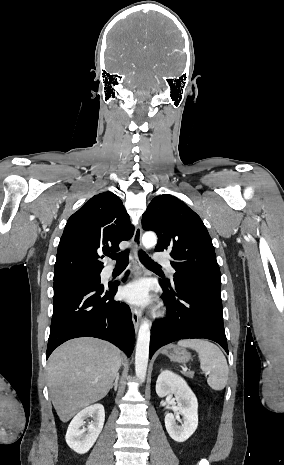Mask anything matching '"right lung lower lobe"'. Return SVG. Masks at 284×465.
I'll return each mask as SVG.
<instances>
[{"label":"right lung lower lobe","mask_w":284,"mask_h":465,"mask_svg":"<svg viewBox=\"0 0 284 465\" xmlns=\"http://www.w3.org/2000/svg\"><path fill=\"white\" fill-rule=\"evenodd\" d=\"M118 285L84 284L54 294L46 359L65 341L85 336L107 340L131 355L135 331L129 306L113 300Z\"/></svg>","instance_id":"right-lung-lower-lobe-1"}]
</instances>
